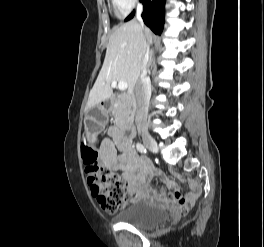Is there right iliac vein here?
Here are the masks:
<instances>
[{
	"label": "right iliac vein",
	"mask_w": 264,
	"mask_h": 247,
	"mask_svg": "<svg viewBox=\"0 0 264 247\" xmlns=\"http://www.w3.org/2000/svg\"><path fill=\"white\" fill-rule=\"evenodd\" d=\"M142 140L145 144V146L151 150L152 152H157L158 151V145L154 138L146 131H143L141 133Z\"/></svg>",
	"instance_id": "63e3f726"
}]
</instances>
